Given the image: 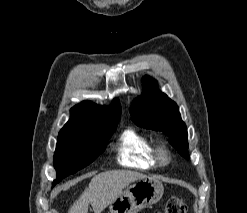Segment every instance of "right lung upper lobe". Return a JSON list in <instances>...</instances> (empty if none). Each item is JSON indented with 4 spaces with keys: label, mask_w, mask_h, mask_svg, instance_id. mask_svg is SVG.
Listing matches in <instances>:
<instances>
[{
    "label": "right lung upper lobe",
    "mask_w": 247,
    "mask_h": 213,
    "mask_svg": "<svg viewBox=\"0 0 247 213\" xmlns=\"http://www.w3.org/2000/svg\"><path fill=\"white\" fill-rule=\"evenodd\" d=\"M120 115L121 106L118 99H114L110 107L83 101L71 109V118L59 134L90 133L101 127L118 123Z\"/></svg>",
    "instance_id": "right-lung-upper-lobe-1"
}]
</instances>
